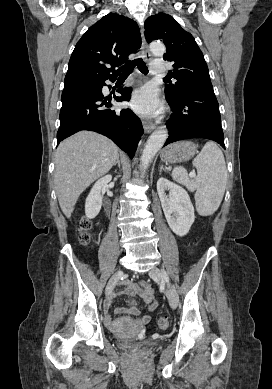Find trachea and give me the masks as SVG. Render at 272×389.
<instances>
[{
  "instance_id": "1",
  "label": "trachea",
  "mask_w": 272,
  "mask_h": 389,
  "mask_svg": "<svg viewBox=\"0 0 272 389\" xmlns=\"http://www.w3.org/2000/svg\"><path fill=\"white\" fill-rule=\"evenodd\" d=\"M137 66L138 69L144 73V74H147L148 73V68L145 64V62L142 60V58H138L130 63H128L127 65H124L121 70H122V73L121 75L123 76H128L129 74L132 73L134 67Z\"/></svg>"
}]
</instances>
